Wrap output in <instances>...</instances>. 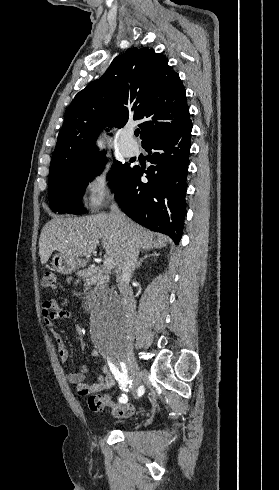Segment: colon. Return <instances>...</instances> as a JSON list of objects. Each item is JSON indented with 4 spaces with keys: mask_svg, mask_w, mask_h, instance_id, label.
<instances>
[{
    "mask_svg": "<svg viewBox=\"0 0 279 490\" xmlns=\"http://www.w3.org/2000/svg\"><path fill=\"white\" fill-rule=\"evenodd\" d=\"M57 285L56 274L51 270H46L41 278V286L46 289H54ZM88 408L92 412L102 411L104 408L111 410L113 416L117 418L130 417L135 413L132 404L115 403L107 394H90L88 397Z\"/></svg>",
    "mask_w": 279,
    "mask_h": 490,
    "instance_id": "1",
    "label": "colon"
}]
</instances>
